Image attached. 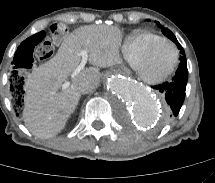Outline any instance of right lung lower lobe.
<instances>
[{"label": "right lung lower lobe", "mask_w": 215, "mask_h": 183, "mask_svg": "<svg viewBox=\"0 0 215 183\" xmlns=\"http://www.w3.org/2000/svg\"><path fill=\"white\" fill-rule=\"evenodd\" d=\"M20 87L18 88V89H16L15 87H14V95L15 96H17V97H19L20 96Z\"/></svg>", "instance_id": "right-lung-lower-lobe-1"}]
</instances>
